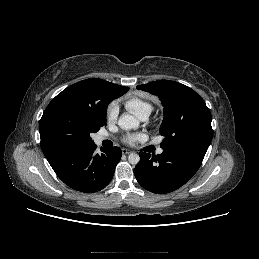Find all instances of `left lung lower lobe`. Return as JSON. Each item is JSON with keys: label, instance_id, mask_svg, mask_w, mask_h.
Instances as JSON below:
<instances>
[{"label": "left lung lower lobe", "instance_id": "0a47b994", "mask_svg": "<svg viewBox=\"0 0 259 259\" xmlns=\"http://www.w3.org/2000/svg\"><path fill=\"white\" fill-rule=\"evenodd\" d=\"M134 169L139 184L146 190L165 194L172 192L197 172L204 154L191 150H163L159 155L140 152Z\"/></svg>", "mask_w": 259, "mask_h": 259}]
</instances>
